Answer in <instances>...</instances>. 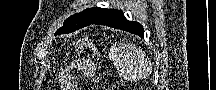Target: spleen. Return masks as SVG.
<instances>
[{"instance_id":"1","label":"spleen","mask_w":216,"mask_h":90,"mask_svg":"<svg viewBox=\"0 0 216 90\" xmlns=\"http://www.w3.org/2000/svg\"><path fill=\"white\" fill-rule=\"evenodd\" d=\"M123 52L126 56V62L131 72L142 74L148 62L146 54H144L140 48H137V46H133V44H123Z\"/></svg>"}]
</instances>
